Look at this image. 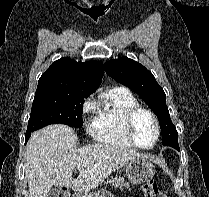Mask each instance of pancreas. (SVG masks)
Instances as JSON below:
<instances>
[{
	"instance_id": "obj_1",
	"label": "pancreas",
	"mask_w": 209,
	"mask_h": 197,
	"mask_svg": "<svg viewBox=\"0 0 209 197\" xmlns=\"http://www.w3.org/2000/svg\"><path fill=\"white\" fill-rule=\"evenodd\" d=\"M108 184L114 186V188H120L121 190L129 188V183L123 177H112L105 182V185Z\"/></svg>"
}]
</instances>
